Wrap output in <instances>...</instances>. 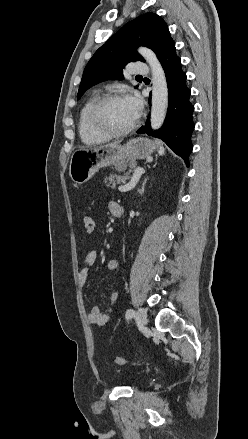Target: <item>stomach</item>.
Masks as SVG:
<instances>
[{
    "mask_svg": "<svg viewBox=\"0 0 248 439\" xmlns=\"http://www.w3.org/2000/svg\"><path fill=\"white\" fill-rule=\"evenodd\" d=\"M158 147L156 141L139 137L129 140L125 145L113 143L78 149L71 156L69 175L74 183L80 185L91 179L102 167L130 159H144Z\"/></svg>",
    "mask_w": 248,
    "mask_h": 439,
    "instance_id": "0dacf381",
    "label": "stomach"
}]
</instances>
